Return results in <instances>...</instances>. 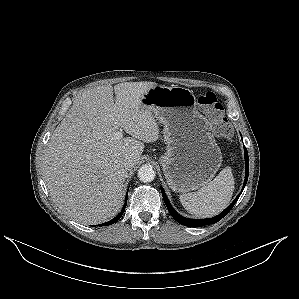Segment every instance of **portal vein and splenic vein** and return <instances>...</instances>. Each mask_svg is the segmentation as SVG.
Listing matches in <instances>:
<instances>
[{
  "label": "portal vein and splenic vein",
  "mask_w": 299,
  "mask_h": 299,
  "mask_svg": "<svg viewBox=\"0 0 299 299\" xmlns=\"http://www.w3.org/2000/svg\"><path fill=\"white\" fill-rule=\"evenodd\" d=\"M115 135H116L117 139H121L123 137L122 129H120L119 131H117Z\"/></svg>",
  "instance_id": "obj_1"
}]
</instances>
